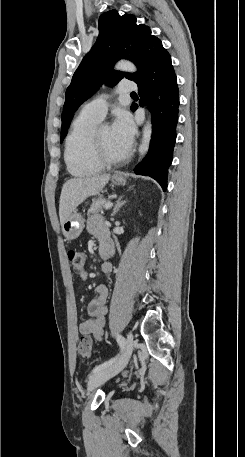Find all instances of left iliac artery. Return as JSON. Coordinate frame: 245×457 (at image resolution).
I'll list each match as a JSON object with an SVG mask.
<instances>
[{
    "label": "left iliac artery",
    "instance_id": "1",
    "mask_svg": "<svg viewBox=\"0 0 245 457\" xmlns=\"http://www.w3.org/2000/svg\"><path fill=\"white\" fill-rule=\"evenodd\" d=\"M117 342H118L121 350H123L125 348V344H126V341H125L124 337L121 336V335H117ZM116 358H117V356L112 358V359H110V360H108V361H106V362H104V363H102V364H100V365H98V366H96L93 369L92 372L95 373L97 371H100L103 368H106V367L110 366L115 361Z\"/></svg>",
    "mask_w": 245,
    "mask_h": 457
}]
</instances>
